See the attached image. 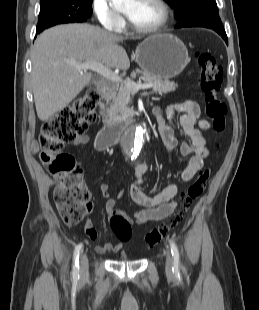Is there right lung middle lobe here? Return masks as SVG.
Masks as SVG:
<instances>
[{
	"mask_svg": "<svg viewBox=\"0 0 259 310\" xmlns=\"http://www.w3.org/2000/svg\"><path fill=\"white\" fill-rule=\"evenodd\" d=\"M93 0H40L37 32L61 23L83 22L92 14Z\"/></svg>",
	"mask_w": 259,
	"mask_h": 310,
	"instance_id": "obj_1",
	"label": "right lung middle lobe"
}]
</instances>
